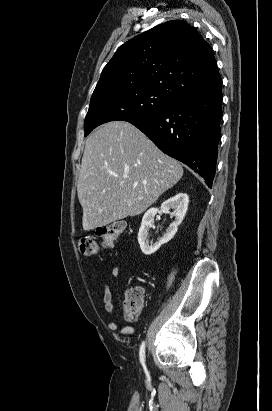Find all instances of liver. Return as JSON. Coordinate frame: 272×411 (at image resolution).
<instances>
[{
  "instance_id": "liver-1",
  "label": "liver",
  "mask_w": 272,
  "mask_h": 411,
  "mask_svg": "<svg viewBox=\"0 0 272 411\" xmlns=\"http://www.w3.org/2000/svg\"><path fill=\"white\" fill-rule=\"evenodd\" d=\"M182 175L181 164L129 122L102 125L86 140L79 173L83 229L141 214Z\"/></svg>"
}]
</instances>
